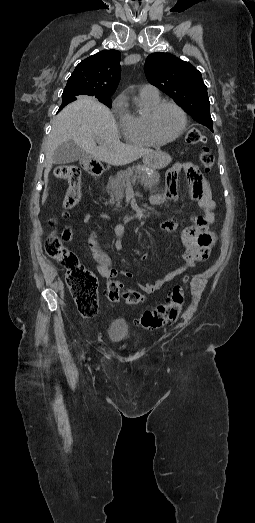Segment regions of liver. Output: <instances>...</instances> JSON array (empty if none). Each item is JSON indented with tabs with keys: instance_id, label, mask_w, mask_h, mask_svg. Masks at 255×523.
I'll use <instances>...</instances> for the list:
<instances>
[{
	"instance_id": "obj_1",
	"label": "liver",
	"mask_w": 255,
	"mask_h": 523,
	"mask_svg": "<svg viewBox=\"0 0 255 523\" xmlns=\"http://www.w3.org/2000/svg\"><path fill=\"white\" fill-rule=\"evenodd\" d=\"M62 142H75L86 154H90L100 162L111 164V166H125L139 158L147 160L146 156H152V154H159L163 164L171 162L170 156L164 152H154V150L122 144L118 138L117 124L109 108L97 102L95 98L80 96L79 100L66 106L52 124L46 148L45 190L42 204L48 196V176L52 164H54V150ZM96 142L100 146H96Z\"/></svg>"
}]
</instances>
